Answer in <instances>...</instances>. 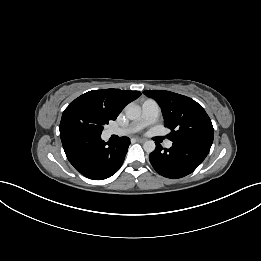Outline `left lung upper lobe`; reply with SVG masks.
I'll return each instance as SVG.
<instances>
[{
  "mask_svg": "<svg viewBox=\"0 0 261 261\" xmlns=\"http://www.w3.org/2000/svg\"><path fill=\"white\" fill-rule=\"evenodd\" d=\"M143 93L160 105L165 126L172 130L169 134L172 142L212 145V122L200 104L189 97L170 91L146 90Z\"/></svg>",
  "mask_w": 261,
  "mask_h": 261,
  "instance_id": "obj_1",
  "label": "left lung upper lobe"
}]
</instances>
